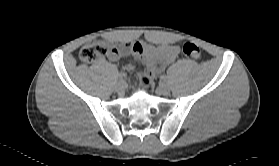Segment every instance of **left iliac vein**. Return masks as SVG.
I'll list each match as a JSON object with an SVG mask.
<instances>
[{
	"label": "left iliac vein",
	"instance_id": "left-iliac-vein-1",
	"mask_svg": "<svg viewBox=\"0 0 279 166\" xmlns=\"http://www.w3.org/2000/svg\"><path fill=\"white\" fill-rule=\"evenodd\" d=\"M157 91L162 94V95H169L170 94V88L168 85L164 84V83H160Z\"/></svg>",
	"mask_w": 279,
	"mask_h": 166
}]
</instances>
